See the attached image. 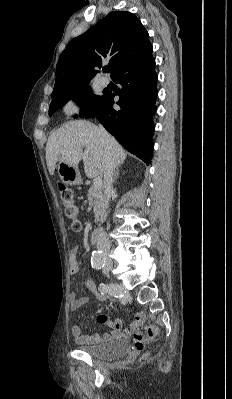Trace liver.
<instances>
[{
  "label": "liver",
  "instance_id": "1",
  "mask_svg": "<svg viewBox=\"0 0 232 399\" xmlns=\"http://www.w3.org/2000/svg\"><path fill=\"white\" fill-rule=\"evenodd\" d=\"M109 140L106 142L99 126L91 122L76 120L63 124L49 136L46 144V164L50 176H53L57 162L77 168L83 160L87 178L103 176L109 160L120 166L126 160V154L115 138L109 136Z\"/></svg>",
  "mask_w": 232,
  "mask_h": 399
}]
</instances>
